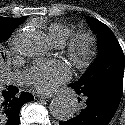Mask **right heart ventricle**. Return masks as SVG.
I'll return each instance as SVG.
<instances>
[{
    "label": "right heart ventricle",
    "mask_w": 125,
    "mask_h": 125,
    "mask_svg": "<svg viewBox=\"0 0 125 125\" xmlns=\"http://www.w3.org/2000/svg\"><path fill=\"white\" fill-rule=\"evenodd\" d=\"M74 32V27L63 23H52L48 27V37L56 45H62Z\"/></svg>",
    "instance_id": "right-heart-ventricle-1"
}]
</instances>
